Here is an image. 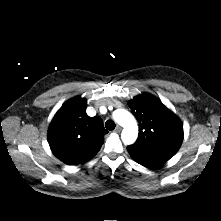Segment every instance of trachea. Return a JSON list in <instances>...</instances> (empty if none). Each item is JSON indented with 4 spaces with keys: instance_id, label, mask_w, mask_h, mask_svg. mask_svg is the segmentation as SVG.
<instances>
[{
    "instance_id": "3493384b",
    "label": "trachea",
    "mask_w": 221,
    "mask_h": 221,
    "mask_svg": "<svg viewBox=\"0 0 221 221\" xmlns=\"http://www.w3.org/2000/svg\"><path fill=\"white\" fill-rule=\"evenodd\" d=\"M115 123L112 120H107L105 123V127L108 130H113L115 128Z\"/></svg>"
}]
</instances>
